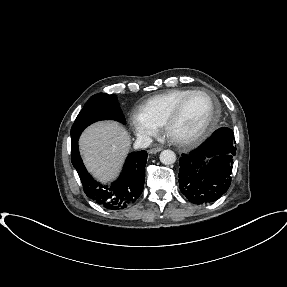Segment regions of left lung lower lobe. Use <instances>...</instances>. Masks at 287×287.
Returning <instances> with one entry per match:
<instances>
[{"instance_id": "left-lung-lower-lobe-1", "label": "left lung lower lobe", "mask_w": 287, "mask_h": 287, "mask_svg": "<svg viewBox=\"0 0 287 287\" xmlns=\"http://www.w3.org/2000/svg\"><path fill=\"white\" fill-rule=\"evenodd\" d=\"M234 144V132L221 127L198 148L182 154L179 185L190 202L211 203L228 190L236 154Z\"/></svg>"}]
</instances>
